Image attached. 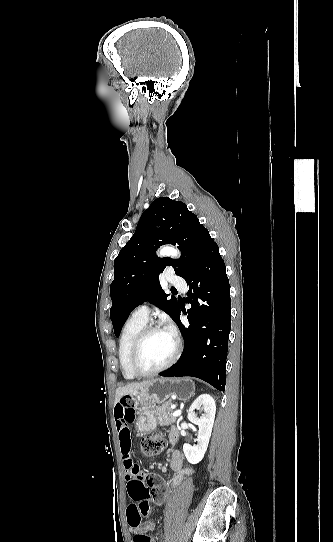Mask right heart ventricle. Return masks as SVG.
Returning a JSON list of instances; mask_svg holds the SVG:
<instances>
[{"label": "right heart ventricle", "mask_w": 333, "mask_h": 542, "mask_svg": "<svg viewBox=\"0 0 333 542\" xmlns=\"http://www.w3.org/2000/svg\"><path fill=\"white\" fill-rule=\"evenodd\" d=\"M147 322L130 318L125 324L119 340V364L122 375L125 379H134V375L129 366V353L132 343L139 332L146 326Z\"/></svg>", "instance_id": "1"}]
</instances>
